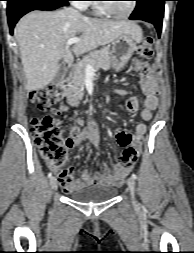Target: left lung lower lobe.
<instances>
[{"mask_svg": "<svg viewBox=\"0 0 194 253\" xmlns=\"http://www.w3.org/2000/svg\"><path fill=\"white\" fill-rule=\"evenodd\" d=\"M137 5L130 16L131 20H144L152 23L161 34L164 3L167 0H135Z\"/></svg>", "mask_w": 194, "mask_h": 253, "instance_id": "0a47b994", "label": "left lung lower lobe"}]
</instances>
